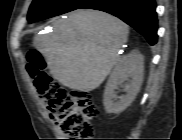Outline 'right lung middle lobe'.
<instances>
[{
    "instance_id": "dd1d6c3e",
    "label": "right lung middle lobe",
    "mask_w": 182,
    "mask_h": 140,
    "mask_svg": "<svg viewBox=\"0 0 182 140\" xmlns=\"http://www.w3.org/2000/svg\"><path fill=\"white\" fill-rule=\"evenodd\" d=\"M88 0H34L28 13L30 23L78 9Z\"/></svg>"
}]
</instances>
